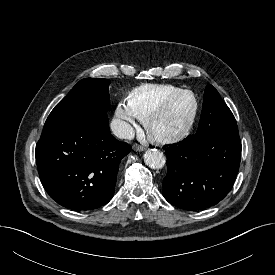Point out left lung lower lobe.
<instances>
[{"label":"left lung lower lobe","mask_w":275,"mask_h":275,"mask_svg":"<svg viewBox=\"0 0 275 275\" xmlns=\"http://www.w3.org/2000/svg\"><path fill=\"white\" fill-rule=\"evenodd\" d=\"M164 150L168 172L163 195L172 205L203 210L219 203L232 189L241 159L239 136L192 135Z\"/></svg>","instance_id":"0a47b994"}]
</instances>
